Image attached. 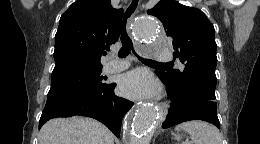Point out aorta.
Masks as SVG:
<instances>
[{"label":"aorta","instance_id":"1","mask_svg":"<svg viewBox=\"0 0 260 144\" xmlns=\"http://www.w3.org/2000/svg\"><path fill=\"white\" fill-rule=\"evenodd\" d=\"M136 37L144 42L158 40L157 22L150 17L140 18L134 25ZM158 110L145 104L132 111L126 118V136L129 144H149L152 131L158 122Z\"/></svg>","mask_w":260,"mask_h":144}]
</instances>
